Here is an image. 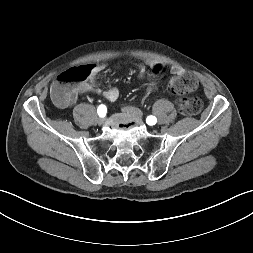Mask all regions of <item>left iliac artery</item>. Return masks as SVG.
Here are the masks:
<instances>
[{"mask_svg":"<svg viewBox=\"0 0 253 253\" xmlns=\"http://www.w3.org/2000/svg\"><path fill=\"white\" fill-rule=\"evenodd\" d=\"M146 122H147V124L148 125H154V124H156V122H157V119H156V117L155 116H148L147 118H146Z\"/></svg>","mask_w":253,"mask_h":253,"instance_id":"left-iliac-artery-1","label":"left iliac artery"}]
</instances>
